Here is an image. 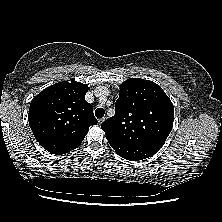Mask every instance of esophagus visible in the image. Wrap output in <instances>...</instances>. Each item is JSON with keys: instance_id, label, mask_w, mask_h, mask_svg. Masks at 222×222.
Listing matches in <instances>:
<instances>
[{"instance_id": "34e87169", "label": "esophagus", "mask_w": 222, "mask_h": 222, "mask_svg": "<svg viewBox=\"0 0 222 222\" xmlns=\"http://www.w3.org/2000/svg\"><path fill=\"white\" fill-rule=\"evenodd\" d=\"M105 120V118L98 119L99 124H102V122Z\"/></svg>"}]
</instances>
